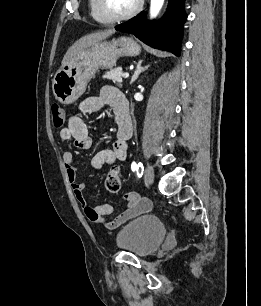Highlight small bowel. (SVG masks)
Here are the masks:
<instances>
[{
  "label": "small bowel",
  "instance_id": "small-bowel-1",
  "mask_svg": "<svg viewBox=\"0 0 261 306\" xmlns=\"http://www.w3.org/2000/svg\"><path fill=\"white\" fill-rule=\"evenodd\" d=\"M106 106L111 107L115 115L117 124L116 140L111 149L100 150L93 156L91 165L96 170L102 169L105 164L111 165L117 161H125L127 159L128 141L132 136L133 130L128 102L123 93L114 87H103L97 96L85 99L80 105V110L83 113H93ZM59 136L65 141L72 139L74 146L78 149L86 150L92 145L87 125L78 114L69 118L67 127L60 130ZM63 162L73 194L91 222L102 224L107 229H115L128 220L150 210L151 202L149 199L140 196L136 192H129L125 195L126 208L113 219H106L107 216L112 214L113 208L109 204L90 206L87 203L83 194L85 186L77 181V167L75 166L73 152H64Z\"/></svg>",
  "mask_w": 261,
  "mask_h": 306
}]
</instances>
